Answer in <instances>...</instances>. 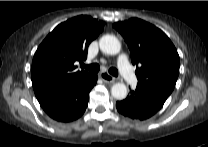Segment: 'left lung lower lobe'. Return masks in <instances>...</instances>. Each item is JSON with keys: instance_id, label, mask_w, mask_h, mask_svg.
<instances>
[{"instance_id": "1", "label": "left lung lower lobe", "mask_w": 208, "mask_h": 147, "mask_svg": "<svg viewBox=\"0 0 208 147\" xmlns=\"http://www.w3.org/2000/svg\"><path fill=\"white\" fill-rule=\"evenodd\" d=\"M167 98V95L150 87L137 85L125 100L116 103V107L118 112L126 117L145 120L154 115Z\"/></svg>"}]
</instances>
